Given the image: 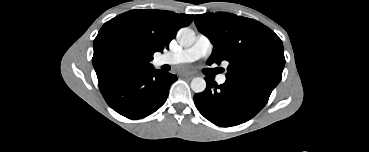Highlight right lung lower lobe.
<instances>
[{"instance_id": "obj_1", "label": "right lung lower lobe", "mask_w": 369, "mask_h": 152, "mask_svg": "<svg viewBox=\"0 0 369 152\" xmlns=\"http://www.w3.org/2000/svg\"><path fill=\"white\" fill-rule=\"evenodd\" d=\"M176 80L175 75L152 67L124 72L99 84V88L112 109L127 118L140 119L165 103Z\"/></svg>"}]
</instances>
